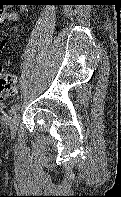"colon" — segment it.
<instances>
[{
	"label": "colon",
	"instance_id": "colon-1",
	"mask_svg": "<svg viewBox=\"0 0 121 197\" xmlns=\"http://www.w3.org/2000/svg\"><path fill=\"white\" fill-rule=\"evenodd\" d=\"M15 94L13 75L0 63V107L6 106Z\"/></svg>",
	"mask_w": 121,
	"mask_h": 197
}]
</instances>
